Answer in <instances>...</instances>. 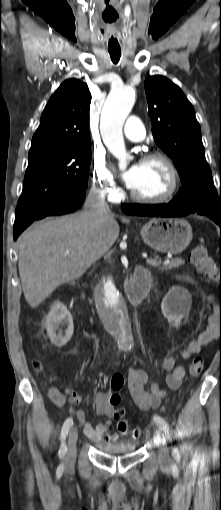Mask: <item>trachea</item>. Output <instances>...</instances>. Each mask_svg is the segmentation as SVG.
Returning a JSON list of instances; mask_svg holds the SVG:
<instances>
[{
  "label": "trachea",
  "mask_w": 221,
  "mask_h": 510,
  "mask_svg": "<svg viewBox=\"0 0 221 510\" xmlns=\"http://www.w3.org/2000/svg\"><path fill=\"white\" fill-rule=\"evenodd\" d=\"M111 60L114 64H117L121 57V52L109 51Z\"/></svg>",
  "instance_id": "1"
}]
</instances>
